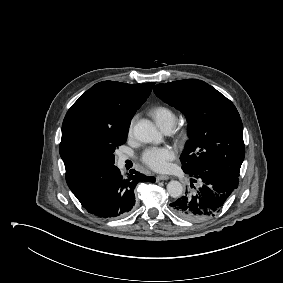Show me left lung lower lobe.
I'll list each match as a JSON object with an SVG mask.
<instances>
[{"label": "left lung lower lobe", "instance_id": "0a47b994", "mask_svg": "<svg viewBox=\"0 0 283 283\" xmlns=\"http://www.w3.org/2000/svg\"><path fill=\"white\" fill-rule=\"evenodd\" d=\"M189 174L193 191L170 204L172 212L187 221H203L213 217L223 207L234 189L238 187L239 178L235 175L208 170ZM193 183H198L194 186Z\"/></svg>", "mask_w": 283, "mask_h": 283}]
</instances>
